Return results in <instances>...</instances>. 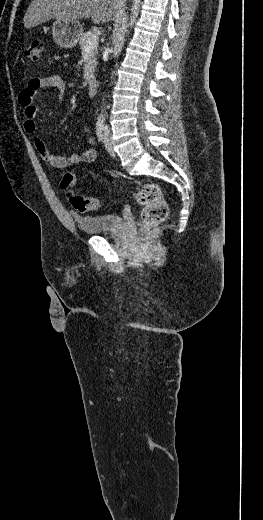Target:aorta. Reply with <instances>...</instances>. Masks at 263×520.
Listing matches in <instances>:
<instances>
[{
	"label": "aorta",
	"mask_w": 263,
	"mask_h": 520,
	"mask_svg": "<svg viewBox=\"0 0 263 520\" xmlns=\"http://www.w3.org/2000/svg\"><path fill=\"white\" fill-rule=\"evenodd\" d=\"M139 8H140V0H133V5H132V8H131V12L132 13H131V16H130V21L124 27L126 32H128V28L132 27V25L134 24L136 18L138 17ZM103 106H104V109H105V105H103ZM101 112H103V109L101 110ZM100 117L101 118L103 117L102 113H101Z\"/></svg>",
	"instance_id": "762f6f07"
}]
</instances>
